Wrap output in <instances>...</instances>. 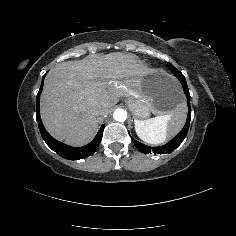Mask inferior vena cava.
<instances>
[{"label": "inferior vena cava", "mask_w": 236, "mask_h": 236, "mask_svg": "<svg viewBox=\"0 0 236 236\" xmlns=\"http://www.w3.org/2000/svg\"><path fill=\"white\" fill-rule=\"evenodd\" d=\"M94 116H99L100 115V109H97L96 111L92 112Z\"/></svg>", "instance_id": "obj_1"}]
</instances>
